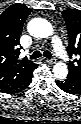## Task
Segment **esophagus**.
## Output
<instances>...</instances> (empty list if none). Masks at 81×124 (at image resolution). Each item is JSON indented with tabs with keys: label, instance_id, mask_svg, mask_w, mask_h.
I'll list each match as a JSON object with an SVG mask.
<instances>
[{
	"label": "esophagus",
	"instance_id": "esophagus-1",
	"mask_svg": "<svg viewBox=\"0 0 81 124\" xmlns=\"http://www.w3.org/2000/svg\"><path fill=\"white\" fill-rule=\"evenodd\" d=\"M45 61L47 63H49V64H54L56 62V59L55 58H51V59H46Z\"/></svg>",
	"mask_w": 81,
	"mask_h": 124
}]
</instances>
